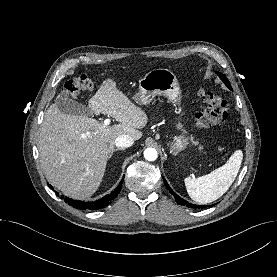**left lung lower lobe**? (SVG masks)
Returning <instances> with one entry per match:
<instances>
[{
    "label": "left lung lower lobe",
    "instance_id": "0a47b994",
    "mask_svg": "<svg viewBox=\"0 0 277 277\" xmlns=\"http://www.w3.org/2000/svg\"><path fill=\"white\" fill-rule=\"evenodd\" d=\"M165 185L167 186V188L169 189V192L172 193V195H174L175 200L178 204L180 205H184L187 206L189 208H193V209H202V208H206L207 206H203V205H195V204H191L188 203L187 201H185L184 199H182L181 197H179L175 192H173V190L169 187V185L167 184L166 180L163 178Z\"/></svg>",
    "mask_w": 277,
    "mask_h": 277
}]
</instances>
